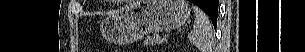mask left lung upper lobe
Returning <instances> with one entry per match:
<instances>
[{"label":"left lung upper lobe","instance_id":"left-lung-upper-lobe-1","mask_svg":"<svg viewBox=\"0 0 305 52\" xmlns=\"http://www.w3.org/2000/svg\"><path fill=\"white\" fill-rule=\"evenodd\" d=\"M212 22H217V11H208L207 12Z\"/></svg>","mask_w":305,"mask_h":52}]
</instances>
